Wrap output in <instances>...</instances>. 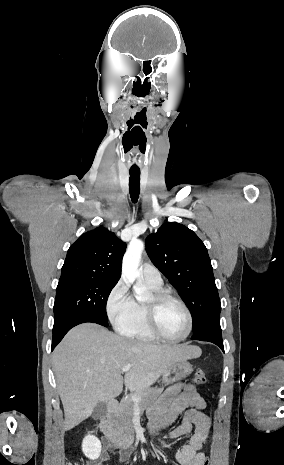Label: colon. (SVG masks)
<instances>
[{
	"label": "colon",
	"mask_w": 284,
	"mask_h": 465,
	"mask_svg": "<svg viewBox=\"0 0 284 465\" xmlns=\"http://www.w3.org/2000/svg\"><path fill=\"white\" fill-rule=\"evenodd\" d=\"M194 382L196 384H203L206 382V375L202 370H198L194 374ZM208 460V459H207ZM74 465V463H72ZM203 465H209L208 462H204Z\"/></svg>",
	"instance_id": "5ec220e1"
}]
</instances>
